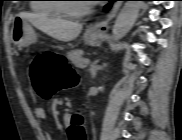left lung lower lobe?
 Listing matches in <instances>:
<instances>
[{
	"instance_id": "obj_1",
	"label": "left lung lower lobe",
	"mask_w": 182,
	"mask_h": 140,
	"mask_svg": "<svg viewBox=\"0 0 182 140\" xmlns=\"http://www.w3.org/2000/svg\"><path fill=\"white\" fill-rule=\"evenodd\" d=\"M111 7V4H108V5H106V9H108V8H110Z\"/></svg>"
}]
</instances>
